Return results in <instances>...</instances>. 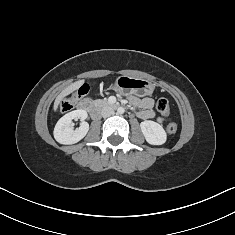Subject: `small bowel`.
Masks as SVG:
<instances>
[{"instance_id": "obj_1", "label": "small bowel", "mask_w": 235, "mask_h": 235, "mask_svg": "<svg viewBox=\"0 0 235 235\" xmlns=\"http://www.w3.org/2000/svg\"><path fill=\"white\" fill-rule=\"evenodd\" d=\"M130 102L133 106L138 107L140 110L138 111V116L141 119H151L155 116L153 111L154 100L152 98H137V97H130ZM159 122H163V118L158 119Z\"/></svg>"}]
</instances>
